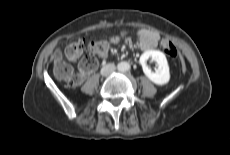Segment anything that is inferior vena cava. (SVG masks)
<instances>
[{
	"label": "inferior vena cava",
	"mask_w": 230,
	"mask_h": 155,
	"mask_svg": "<svg viewBox=\"0 0 230 155\" xmlns=\"http://www.w3.org/2000/svg\"><path fill=\"white\" fill-rule=\"evenodd\" d=\"M115 69H116V68H115V65H114V64H112V63L107 64V65H105V66L101 69V74H102L103 76H107V75L113 73V72L115 71Z\"/></svg>",
	"instance_id": "inferior-vena-cava-1"
}]
</instances>
